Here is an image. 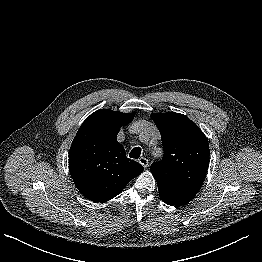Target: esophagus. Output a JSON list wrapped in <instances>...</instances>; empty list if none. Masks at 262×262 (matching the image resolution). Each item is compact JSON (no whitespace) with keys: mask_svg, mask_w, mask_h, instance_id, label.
Segmentation results:
<instances>
[{"mask_svg":"<svg viewBox=\"0 0 262 262\" xmlns=\"http://www.w3.org/2000/svg\"><path fill=\"white\" fill-rule=\"evenodd\" d=\"M138 161H139V163H140L141 165H143V167H145V168L148 167V159H147V158L141 157V158H139Z\"/></svg>","mask_w":262,"mask_h":262,"instance_id":"obj_1","label":"esophagus"}]
</instances>
